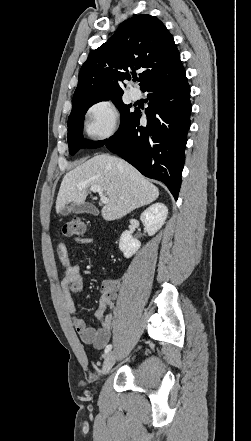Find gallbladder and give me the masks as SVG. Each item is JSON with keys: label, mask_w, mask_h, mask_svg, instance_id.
<instances>
[{"label": "gallbladder", "mask_w": 251, "mask_h": 441, "mask_svg": "<svg viewBox=\"0 0 251 441\" xmlns=\"http://www.w3.org/2000/svg\"><path fill=\"white\" fill-rule=\"evenodd\" d=\"M63 214L68 215L69 213H75V214H81V213H91L94 215H98L99 211L97 208L90 204V203H84V204H74L71 203L70 205H67L62 210Z\"/></svg>", "instance_id": "1"}]
</instances>
